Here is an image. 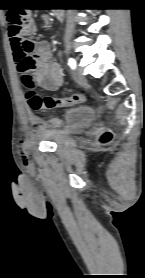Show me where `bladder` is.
Instances as JSON below:
<instances>
[{
    "label": "bladder",
    "instance_id": "bladder-1",
    "mask_svg": "<svg viewBox=\"0 0 145 278\" xmlns=\"http://www.w3.org/2000/svg\"><path fill=\"white\" fill-rule=\"evenodd\" d=\"M95 120V112L88 107H71L64 111L56 126L46 129L42 137L54 145H62L76 133L88 128Z\"/></svg>",
    "mask_w": 145,
    "mask_h": 278
}]
</instances>
